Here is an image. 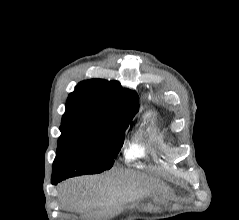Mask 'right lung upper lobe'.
I'll list each match as a JSON object with an SVG mask.
<instances>
[{
  "label": "right lung upper lobe",
  "instance_id": "obj_1",
  "mask_svg": "<svg viewBox=\"0 0 239 220\" xmlns=\"http://www.w3.org/2000/svg\"><path fill=\"white\" fill-rule=\"evenodd\" d=\"M138 109L135 91L118 81L92 79L80 82L69 95L62 122L108 124L132 119Z\"/></svg>",
  "mask_w": 239,
  "mask_h": 220
}]
</instances>
